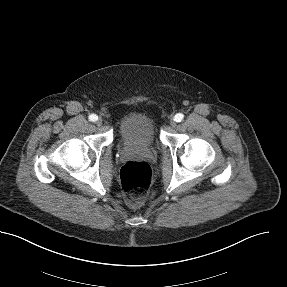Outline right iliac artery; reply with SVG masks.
Masks as SVG:
<instances>
[{
	"mask_svg": "<svg viewBox=\"0 0 287 287\" xmlns=\"http://www.w3.org/2000/svg\"><path fill=\"white\" fill-rule=\"evenodd\" d=\"M89 120L92 121V122H95L98 120V116L96 114H91L89 116Z\"/></svg>",
	"mask_w": 287,
	"mask_h": 287,
	"instance_id": "right-iliac-artery-1",
	"label": "right iliac artery"
}]
</instances>
